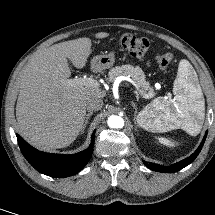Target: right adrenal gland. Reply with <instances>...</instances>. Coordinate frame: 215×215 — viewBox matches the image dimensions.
<instances>
[{"instance_id":"1","label":"right adrenal gland","mask_w":215,"mask_h":215,"mask_svg":"<svg viewBox=\"0 0 215 215\" xmlns=\"http://www.w3.org/2000/svg\"><path fill=\"white\" fill-rule=\"evenodd\" d=\"M91 115H92V112H90V113H88V114L86 115V119H85V123H84L83 130L85 129V127H86V125H87V123H88V120H89V118H90Z\"/></svg>"}]
</instances>
